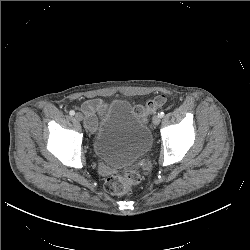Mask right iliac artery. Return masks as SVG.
I'll list each match as a JSON object with an SVG mask.
<instances>
[{
  "label": "right iliac artery",
  "mask_w": 250,
  "mask_h": 250,
  "mask_svg": "<svg viewBox=\"0 0 250 250\" xmlns=\"http://www.w3.org/2000/svg\"><path fill=\"white\" fill-rule=\"evenodd\" d=\"M69 114H70L71 116H73V115L75 114V111H74V110H71V111L69 112Z\"/></svg>",
  "instance_id": "1"
}]
</instances>
